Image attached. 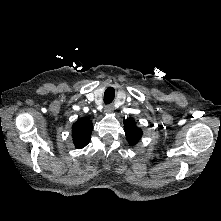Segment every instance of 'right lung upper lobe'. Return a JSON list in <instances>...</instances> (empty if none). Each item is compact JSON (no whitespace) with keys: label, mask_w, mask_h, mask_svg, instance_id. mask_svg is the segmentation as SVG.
Instances as JSON below:
<instances>
[{"label":"right lung upper lobe","mask_w":221,"mask_h":221,"mask_svg":"<svg viewBox=\"0 0 221 221\" xmlns=\"http://www.w3.org/2000/svg\"><path fill=\"white\" fill-rule=\"evenodd\" d=\"M92 121L89 118H80L72 126V136L76 148L85 147L92 133Z\"/></svg>","instance_id":"obj_1"}]
</instances>
